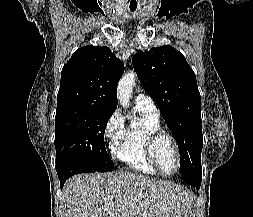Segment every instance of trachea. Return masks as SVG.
I'll return each mask as SVG.
<instances>
[{
	"mask_svg": "<svg viewBox=\"0 0 253 217\" xmlns=\"http://www.w3.org/2000/svg\"><path fill=\"white\" fill-rule=\"evenodd\" d=\"M130 10H131V11H135V10H136V8H130Z\"/></svg>",
	"mask_w": 253,
	"mask_h": 217,
	"instance_id": "obj_1",
	"label": "trachea"
}]
</instances>
